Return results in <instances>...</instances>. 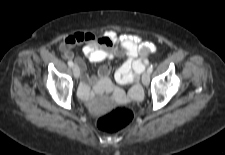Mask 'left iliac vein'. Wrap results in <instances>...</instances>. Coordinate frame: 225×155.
Returning <instances> with one entry per match:
<instances>
[{
	"mask_svg": "<svg viewBox=\"0 0 225 155\" xmlns=\"http://www.w3.org/2000/svg\"><path fill=\"white\" fill-rule=\"evenodd\" d=\"M150 82V73L147 71L142 76V83L143 85L147 86Z\"/></svg>",
	"mask_w": 225,
	"mask_h": 155,
	"instance_id": "1",
	"label": "left iliac vein"
}]
</instances>
